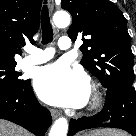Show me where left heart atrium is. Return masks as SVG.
<instances>
[{"mask_svg": "<svg viewBox=\"0 0 136 136\" xmlns=\"http://www.w3.org/2000/svg\"><path fill=\"white\" fill-rule=\"evenodd\" d=\"M34 88L43 101L63 107H81L90 95L86 75L62 62L40 68L34 78Z\"/></svg>", "mask_w": 136, "mask_h": 136, "instance_id": "obj_1", "label": "left heart atrium"}]
</instances>
